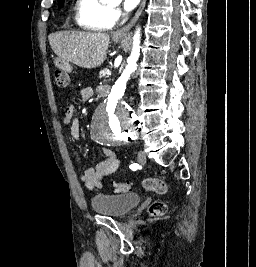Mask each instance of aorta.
Here are the masks:
<instances>
[{"mask_svg": "<svg viewBox=\"0 0 256 267\" xmlns=\"http://www.w3.org/2000/svg\"><path fill=\"white\" fill-rule=\"evenodd\" d=\"M139 44L140 28H137L133 36L132 52L125 66L126 72L115 82L116 89L113 90V95H109L107 101H100L99 108H95L92 127H133L132 108H128V104H123L120 94L124 93L123 86L129 82L130 72L137 70ZM121 133H128V128H89V138H94V143H115V138H119V143H126V138H121Z\"/></svg>", "mask_w": 256, "mask_h": 267, "instance_id": "762f6f07", "label": "aorta"}]
</instances>
